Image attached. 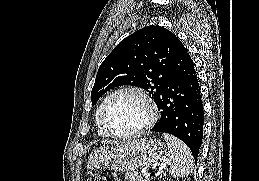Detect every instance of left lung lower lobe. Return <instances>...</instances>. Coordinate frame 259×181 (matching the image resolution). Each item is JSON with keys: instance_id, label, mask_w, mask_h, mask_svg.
Instances as JSON below:
<instances>
[{"instance_id": "left-lung-lower-lobe-1", "label": "left lung lower lobe", "mask_w": 259, "mask_h": 181, "mask_svg": "<svg viewBox=\"0 0 259 181\" xmlns=\"http://www.w3.org/2000/svg\"><path fill=\"white\" fill-rule=\"evenodd\" d=\"M174 61V72L156 101L161 118L151 131L181 139L197 159L203 138V104L193 61L179 39Z\"/></svg>"}]
</instances>
